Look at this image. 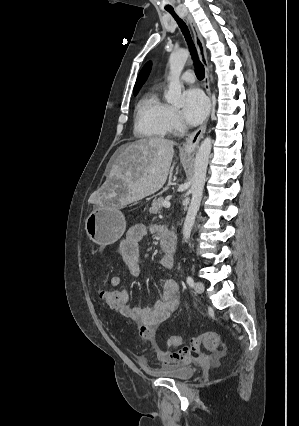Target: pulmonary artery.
<instances>
[{
  "label": "pulmonary artery",
  "instance_id": "obj_1",
  "mask_svg": "<svg viewBox=\"0 0 299 426\" xmlns=\"http://www.w3.org/2000/svg\"><path fill=\"white\" fill-rule=\"evenodd\" d=\"M181 80L185 83H193L195 81V75L192 71L188 70L185 71L182 75H181Z\"/></svg>",
  "mask_w": 299,
  "mask_h": 426
}]
</instances>
